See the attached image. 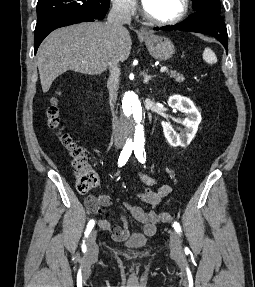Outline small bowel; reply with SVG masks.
<instances>
[{
  "label": "small bowel",
  "instance_id": "c3829d8e",
  "mask_svg": "<svg viewBox=\"0 0 255 287\" xmlns=\"http://www.w3.org/2000/svg\"><path fill=\"white\" fill-rule=\"evenodd\" d=\"M139 176L145 187L137 192V197L143 203L150 205L152 209L145 210L140 206L126 203L119 212V218L122 221L121 226L113 225L107 219L109 213L105 210V207L111 204L109 195L104 193L97 196L90 195L85 200L88 212L102 214L106 217L97 220L96 224L102 231L109 232L115 240H123L129 235V217L143 224L144 233L147 235H153L156 232V225L161 221L155 209L162 199L171 192V187L167 184H162L158 190H153L152 187L158 184V180L144 172H140Z\"/></svg>",
  "mask_w": 255,
  "mask_h": 287
}]
</instances>
